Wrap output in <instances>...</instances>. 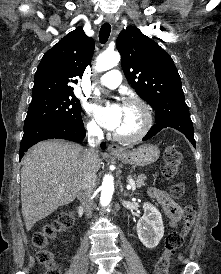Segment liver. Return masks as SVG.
Returning <instances> with one entry per match:
<instances>
[{"mask_svg": "<svg viewBox=\"0 0 221 274\" xmlns=\"http://www.w3.org/2000/svg\"><path fill=\"white\" fill-rule=\"evenodd\" d=\"M86 149L62 140L42 141L23 158L21 169L22 215L29 231L36 222L77 196ZM101 160L97 159L96 170Z\"/></svg>", "mask_w": 221, "mask_h": 274, "instance_id": "obj_1", "label": "liver"}]
</instances>
